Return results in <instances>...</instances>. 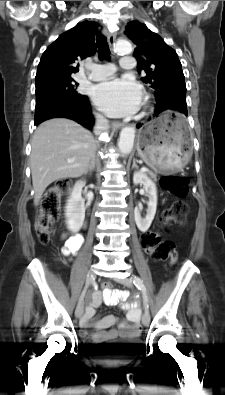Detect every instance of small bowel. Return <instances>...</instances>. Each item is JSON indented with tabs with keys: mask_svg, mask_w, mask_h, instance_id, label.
I'll return each mask as SVG.
<instances>
[{
	"mask_svg": "<svg viewBox=\"0 0 225 395\" xmlns=\"http://www.w3.org/2000/svg\"><path fill=\"white\" fill-rule=\"evenodd\" d=\"M83 243V237L80 234L72 235L66 238L63 253L65 255L77 252ZM127 293L121 290H114L112 288H103L102 292L93 294L91 303L86 307L85 313L81 319V326L83 328L93 327L95 332L89 335L86 331L81 332V336L88 338L91 336L94 342L103 343L107 340L115 338L118 334L123 337H137L140 334L139 319L140 310L135 304L126 302ZM102 302L109 305L119 304L121 309L127 312V322H122L119 326V331L110 329V327L117 322L113 316H106L95 323L91 320Z\"/></svg>",
	"mask_w": 225,
	"mask_h": 395,
	"instance_id": "obj_1",
	"label": "small bowel"
}]
</instances>
